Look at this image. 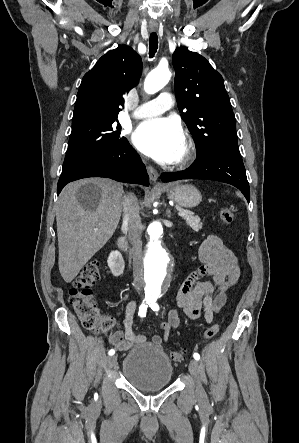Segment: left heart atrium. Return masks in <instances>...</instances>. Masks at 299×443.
Listing matches in <instances>:
<instances>
[{"label": "left heart atrium", "mask_w": 299, "mask_h": 443, "mask_svg": "<svg viewBox=\"0 0 299 443\" xmlns=\"http://www.w3.org/2000/svg\"><path fill=\"white\" fill-rule=\"evenodd\" d=\"M131 139L139 151L161 163L177 161L185 144L182 126L173 117L154 118L140 123Z\"/></svg>", "instance_id": "obj_1"}]
</instances>
